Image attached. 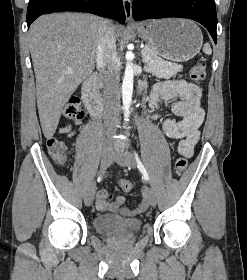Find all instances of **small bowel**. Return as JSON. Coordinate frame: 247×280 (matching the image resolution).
Instances as JSON below:
<instances>
[{
  "mask_svg": "<svg viewBox=\"0 0 247 280\" xmlns=\"http://www.w3.org/2000/svg\"><path fill=\"white\" fill-rule=\"evenodd\" d=\"M179 98L173 106V112L182 119L176 122L167 119L161 122L164 133L171 139L180 140L178 151L186 158L193 155L194 147L199 140V127L204 120V110L200 107L201 89L195 84L184 80L164 81L158 83L151 95L150 108L155 109L160 100H173ZM157 118V116H155ZM81 119H76L78 125ZM74 125L60 128V133L72 137L76 130ZM125 199L122 196L113 197L105 189H101L96 196V208L102 212L121 211L124 215L139 214L148 207L147 191L142 190V200L134 210L124 208Z\"/></svg>",
  "mask_w": 247,
  "mask_h": 280,
  "instance_id": "small-bowel-1",
  "label": "small bowel"
}]
</instances>
